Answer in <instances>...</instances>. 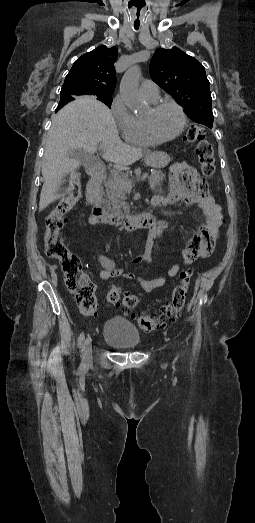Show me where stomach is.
<instances>
[{"mask_svg": "<svg viewBox=\"0 0 255 523\" xmlns=\"http://www.w3.org/2000/svg\"><path fill=\"white\" fill-rule=\"evenodd\" d=\"M171 159V154L169 151H159L157 154L152 152V154H147L145 156V164L150 166V168H164V162H169Z\"/></svg>", "mask_w": 255, "mask_h": 523, "instance_id": "0dacf381", "label": "stomach"}]
</instances>
